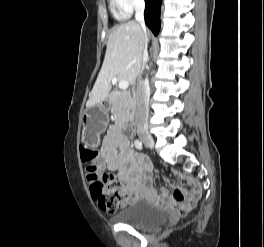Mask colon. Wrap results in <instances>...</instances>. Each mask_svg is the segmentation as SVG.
<instances>
[{"mask_svg": "<svg viewBox=\"0 0 264 247\" xmlns=\"http://www.w3.org/2000/svg\"><path fill=\"white\" fill-rule=\"evenodd\" d=\"M81 160L85 165L86 179L90 185L93 199L103 211L116 212L124 205L121 185L116 177L102 171L99 155L95 150L83 148ZM198 198L199 195L196 194L192 198L178 200L174 203V207L178 214L184 215L194 208Z\"/></svg>", "mask_w": 264, "mask_h": 247, "instance_id": "1", "label": "colon"}]
</instances>
